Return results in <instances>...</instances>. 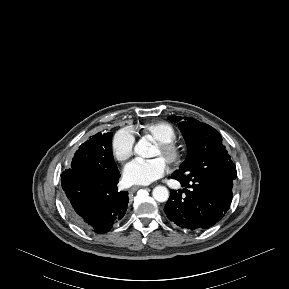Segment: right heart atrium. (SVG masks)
<instances>
[{
  "label": "right heart atrium",
  "mask_w": 289,
  "mask_h": 289,
  "mask_svg": "<svg viewBox=\"0 0 289 289\" xmlns=\"http://www.w3.org/2000/svg\"><path fill=\"white\" fill-rule=\"evenodd\" d=\"M135 136L127 128L116 131L111 139L113 156L121 163L126 162L133 154Z\"/></svg>",
  "instance_id": "right-heart-atrium-1"
}]
</instances>
